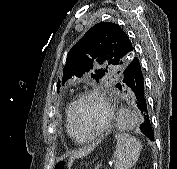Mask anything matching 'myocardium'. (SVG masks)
Returning a JSON list of instances; mask_svg holds the SVG:
<instances>
[{"instance_id": "obj_1", "label": "myocardium", "mask_w": 177, "mask_h": 169, "mask_svg": "<svg viewBox=\"0 0 177 169\" xmlns=\"http://www.w3.org/2000/svg\"><path fill=\"white\" fill-rule=\"evenodd\" d=\"M86 98L97 99L104 110L105 117L103 123L95 132L89 135L80 136L76 126V114L80 103ZM112 117H113L112 109L106 97L96 89H86L78 93L74 101L72 102L71 111H70V122H71L72 130L79 141L93 140L98 136L102 135L103 133H105L110 127Z\"/></svg>"}]
</instances>
